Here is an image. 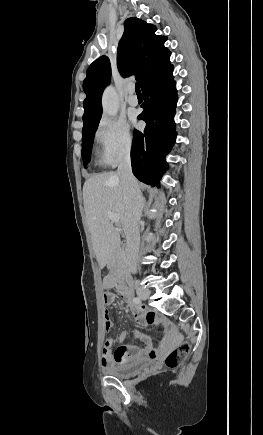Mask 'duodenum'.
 <instances>
[{"instance_id":"1","label":"duodenum","mask_w":263,"mask_h":435,"mask_svg":"<svg viewBox=\"0 0 263 435\" xmlns=\"http://www.w3.org/2000/svg\"><path fill=\"white\" fill-rule=\"evenodd\" d=\"M118 286L124 293L130 294V289L128 285V275L125 270H121L119 272Z\"/></svg>"}]
</instances>
